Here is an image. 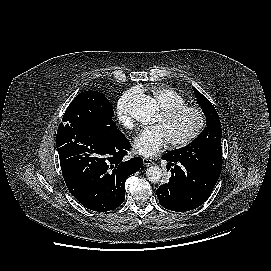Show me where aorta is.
<instances>
[{"label": "aorta", "mask_w": 271, "mask_h": 271, "mask_svg": "<svg viewBox=\"0 0 271 271\" xmlns=\"http://www.w3.org/2000/svg\"><path fill=\"white\" fill-rule=\"evenodd\" d=\"M157 111L156 101L150 96L143 95L133 104L132 114L137 121L151 124L155 120ZM162 175V169L158 166H151L146 170V177L152 183H158Z\"/></svg>", "instance_id": "1"}]
</instances>
